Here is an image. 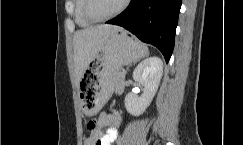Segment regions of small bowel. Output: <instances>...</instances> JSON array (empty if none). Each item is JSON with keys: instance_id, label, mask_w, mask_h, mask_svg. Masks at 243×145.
Segmentation results:
<instances>
[{"instance_id": "c3829d8e", "label": "small bowel", "mask_w": 243, "mask_h": 145, "mask_svg": "<svg viewBox=\"0 0 243 145\" xmlns=\"http://www.w3.org/2000/svg\"><path fill=\"white\" fill-rule=\"evenodd\" d=\"M97 126L90 131L84 145H111L118 137L120 116L116 112H103L97 119ZM102 127H107L105 133Z\"/></svg>"}]
</instances>
